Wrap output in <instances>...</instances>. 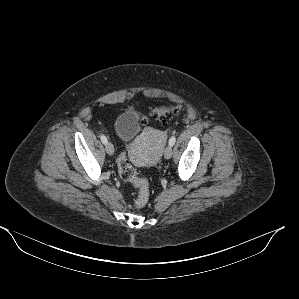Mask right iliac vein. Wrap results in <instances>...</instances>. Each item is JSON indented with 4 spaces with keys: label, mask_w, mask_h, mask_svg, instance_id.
I'll return each instance as SVG.
<instances>
[{
    "label": "right iliac vein",
    "mask_w": 299,
    "mask_h": 299,
    "mask_svg": "<svg viewBox=\"0 0 299 299\" xmlns=\"http://www.w3.org/2000/svg\"><path fill=\"white\" fill-rule=\"evenodd\" d=\"M105 149H106V152L109 154V155H113L114 154V146L111 142H107L105 144Z\"/></svg>",
    "instance_id": "63e3f726"
}]
</instances>
